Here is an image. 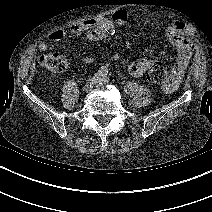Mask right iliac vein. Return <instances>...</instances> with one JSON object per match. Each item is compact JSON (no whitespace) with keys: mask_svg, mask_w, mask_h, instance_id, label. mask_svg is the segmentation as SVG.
Instances as JSON below:
<instances>
[{"mask_svg":"<svg viewBox=\"0 0 212 212\" xmlns=\"http://www.w3.org/2000/svg\"><path fill=\"white\" fill-rule=\"evenodd\" d=\"M99 81V78L98 77H93V78H90L86 83H85V86H84V91L88 92L90 91L94 85H96Z\"/></svg>","mask_w":212,"mask_h":212,"instance_id":"63e3f726","label":"right iliac vein"}]
</instances>
